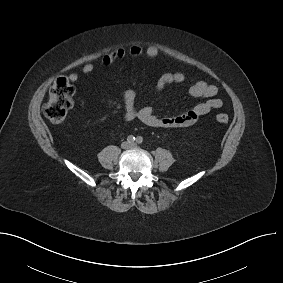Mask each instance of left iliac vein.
<instances>
[{
    "label": "left iliac vein",
    "mask_w": 283,
    "mask_h": 283,
    "mask_svg": "<svg viewBox=\"0 0 283 283\" xmlns=\"http://www.w3.org/2000/svg\"><path fill=\"white\" fill-rule=\"evenodd\" d=\"M130 148H137V144L132 143V144L130 145Z\"/></svg>",
    "instance_id": "obj_1"
}]
</instances>
